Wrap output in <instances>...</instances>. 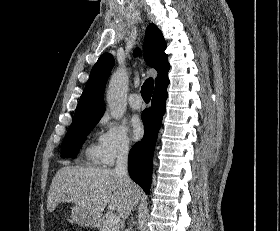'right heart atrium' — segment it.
<instances>
[{"label": "right heart atrium", "mask_w": 280, "mask_h": 231, "mask_svg": "<svg viewBox=\"0 0 280 231\" xmlns=\"http://www.w3.org/2000/svg\"><path fill=\"white\" fill-rule=\"evenodd\" d=\"M105 130L98 138V149L103 164L110 165L116 157L130 151L132 144L125 131L118 125L104 121Z\"/></svg>", "instance_id": "right-heart-atrium-1"}]
</instances>
